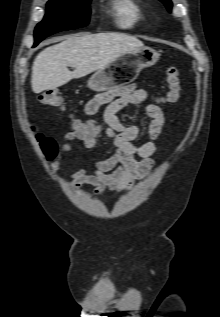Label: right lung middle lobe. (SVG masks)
Returning <instances> with one entry per match:
<instances>
[{"label":"right lung middle lobe","mask_w":220,"mask_h":317,"mask_svg":"<svg viewBox=\"0 0 220 317\" xmlns=\"http://www.w3.org/2000/svg\"><path fill=\"white\" fill-rule=\"evenodd\" d=\"M90 1L49 0L45 17L35 28L34 46L54 33L86 26L90 17Z\"/></svg>","instance_id":"1"}]
</instances>
